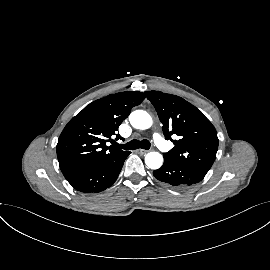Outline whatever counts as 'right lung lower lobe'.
I'll list each match as a JSON object with an SVG mask.
<instances>
[{
    "instance_id": "right-lung-lower-lobe-1",
    "label": "right lung lower lobe",
    "mask_w": 270,
    "mask_h": 270,
    "mask_svg": "<svg viewBox=\"0 0 270 270\" xmlns=\"http://www.w3.org/2000/svg\"><path fill=\"white\" fill-rule=\"evenodd\" d=\"M127 152L104 163L65 174L67 181L78 191L84 193H97L110 187L117 179L126 157Z\"/></svg>"
}]
</instances>
